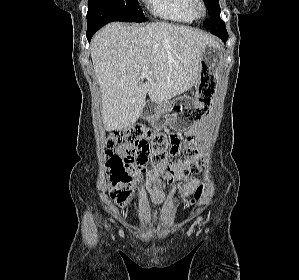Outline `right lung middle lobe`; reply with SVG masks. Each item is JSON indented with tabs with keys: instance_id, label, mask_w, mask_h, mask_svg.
Segmentation results:
<instances>
[{
	"instance_id": "dd1d6c3e",
	"label": "right lung middle lobe",
	"mask_w": 299,
	"mask_h": 280,
	"mask_svg": "<svg viewBox=\"0 0 299 280\" xmlns=\"http://www.w3.org/2000/svg\"><path fill=\"white\" fill-rule=\"evenodd\" d=\"M104 2L129 18L131 22H145L146 18L142 9L139 7L138 0H89Z\"/></svg>"
}]
</instances>
